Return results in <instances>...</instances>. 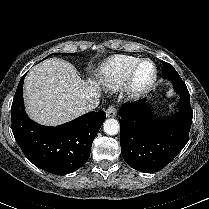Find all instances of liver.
<instances>
[{"label": "liver", "mask_w": 209, "mask_h": 209, "mask_svg": "<svg viewBox=\"0 0 209 209\" xmlns=\"http://www.w3.org/2000/svg\"><path fill=\"white\" fill-rule=\"evenodd\" d=\"M100 82L82 80L69 62L49 58L34 66L24 81V103L35 122L56 126L83 114L80 107L99 100Z\"/></svg>", "instance_id": "1"}]
</instances>
